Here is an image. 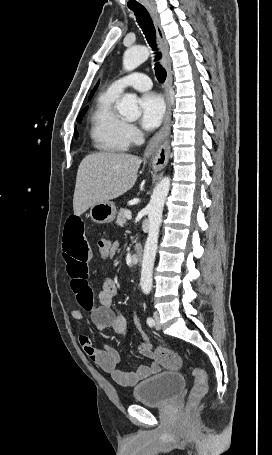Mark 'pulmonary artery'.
<instances>
[{
    "mask_svg": "<svg viewBox=\"0 0 272 455\" xmlns=\"http://www.w3.org/2000/svg\"><path fill=\"white\" fill-rule=\"evenodd\" d=\"M151 86V80L147 75L142 73H132L113 81L110 84L109 89L117 94H120L128 87H132L139 91H145L149 90Z\"/></svg>",
    "mask_w": 272,
    "mask_h": 455,
    "instance_id": "1",
    "label": "pulmonary artery"
}]
</instances>
